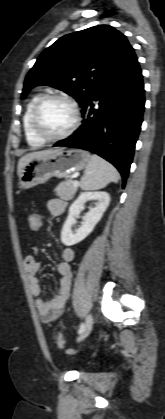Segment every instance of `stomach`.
<instances>
[{
  "label": "stomach",
  "instance_id": "obj_1",
  "mask_svg": "<svg viewBox=\"0 0 165 419\" xmlns=\"http://www.w3.org/2000/svg\"><path fill=\"white\" fill-rule=\"evenodd\" d=\"M90 154L80 149L58 150L29 161L19 174V188L29 189L52 177L65 178L87 167Z\"/></svg>",
  "mask_w": 165,
  "mask_h": 419
}]
</instances>
